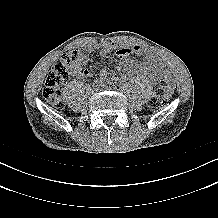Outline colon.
Masks as SVG:
<instances>
[{
  "mask_svg": "<svg viewBox=\"0 0 218 218\" xmlns=\"http://www.w3.org/2000/svg\"><path fill=\"white\" fill-rule=\"evenodd\" d=\"M77 51L62 56L49 72L42 90L44 98L53 106H61V88L69 80L72 64ZM169 80L165 73L162 75L159 87L147 102V108L154 111L160 108L168 96Z\"/></svg>",
  "mask_w": 218,
  "mask_h": 218,
  "instance_id": "5ec220e1",
  "label": "colon"
}]
</instances>
